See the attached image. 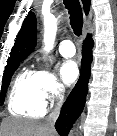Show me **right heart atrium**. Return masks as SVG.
<instances>
[{
	"label": "right heart atrium",
	"mask_w": 117,
	"mask_h": 136,
	"mask_svg": "<svg viewBox=\"0 0 117 136\" xmlns=\"http://www.w3.org/2000/svg\"><path fill=\"white\" fill-rule=\"evenodd\" d=\"M35 76L37 93L44 105L52 104L62 96L63 86L50 70L41 68Z\"/></svg>",
	"instance_id": "right-heart-atrium-1"
}]
</instances>
